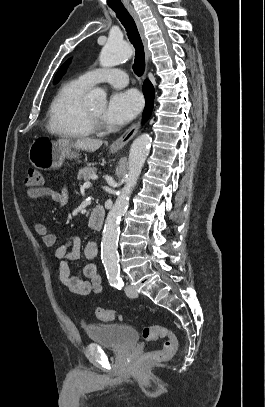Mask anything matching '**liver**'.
I'll return each instance as SVG.
<instances>
[{"label":"liver","instance_id":"obj_1","mask_svg":"<svg viewBox=\"0 0 265 407\" xmlns=\"http://www.w3.org/2000/svg\"><path fill=\"white\" fill-rule=\"evenodd\" d=\"M57 143L60 145L70 146L88 152H94L102 146L103 141L91 138L77 139L75 142H71L69 139H59Z\"/></svg>","mask_w":265,"mask_h":407}]
</instances>
